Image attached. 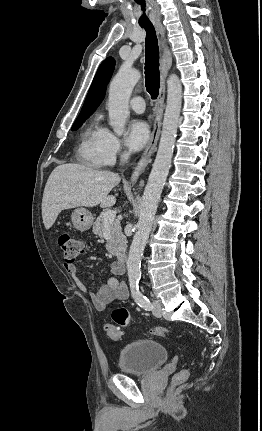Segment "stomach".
<instances>
[{"mask_svg": "<svg viewBox=\"0 0 262 431\" xmlns=\"http://www.w3.org/2000/svg\"><path fill=\"white\" fill-rule=\"evenodd\" d=\"M71 220L74 227L79 231H86L93 224V216L86 208L75 209L72 212Z\"/></svg>", "mask_w": 262, "mask_h": 431, "instance_id": "stomach-1", "label": "stomach"}]
</instances>
